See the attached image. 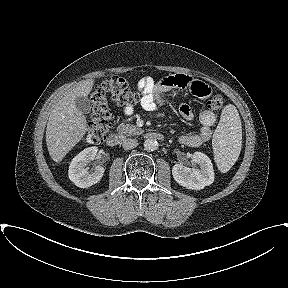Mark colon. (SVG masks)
I'll return each instance as SVG.
<instances>
[{"label":"colon","instance_id":"obj_1","mask_svg":"<svg viewBox=\"0 0 288 288\" xmlns=\"http://www.w3.org/2000/svg\"><path fill=\"white\" fill-rule=\"evenodd\" d=\"M142 98V92L130 88L127 81L119 76L104 80L91 95V122L87 128L86 139L89 143L103 142L113 124V116L108 107V99L119 105L132 106ZM209 108L221 110L224 101L217 95L209 101Z\"/></svg>","mask_w":288,"mask_h":288}]
</instances>
